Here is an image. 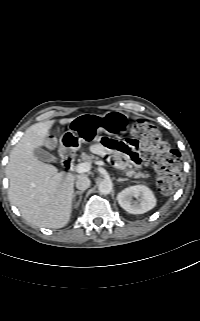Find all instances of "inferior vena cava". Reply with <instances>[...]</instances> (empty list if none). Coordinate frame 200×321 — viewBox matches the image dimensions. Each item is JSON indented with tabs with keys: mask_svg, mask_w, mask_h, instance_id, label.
Segmentation results:
<instances>
[{
	"mask_svg": "<svg viewBox=\"0 0 200 321\" xmlns=\"http://www.w3.org/2000/svg\"><path fill=\"white\" fill-rule=\"evenodd\" d=\"M90 179L87 176L80 175L76 180V187L79 190H86L90 187Z\"/></svg>",
	"mask_w": 200,
	"mask_h": 321,
	"instance_id": "inferior-vena-cava-1",
	"label": "inferior vena cava"
}]
</instances>
